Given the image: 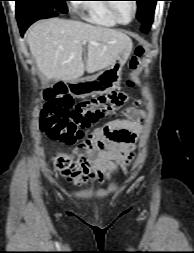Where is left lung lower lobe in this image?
Returning a JSON list of instances; mask_svg holds the SVG:
<instances>
[{"label":"left lung lower lobe","mask_w":194,"mask_h":253,"mask_svg":"<svg viewBox=\"0 0 194 253\" xmlns=\"http://www.w3.org/2000/svg\"><path fill=\"white\" fill-rule=\"evenodd\" d=\"M153 16H154V11H152L149 16L147 17V19L142 23V31L143 32H148L151 24L153 22Z\"/></svg>","instance_id":"left-lung-lower-lobe-1"}]
</instances>
